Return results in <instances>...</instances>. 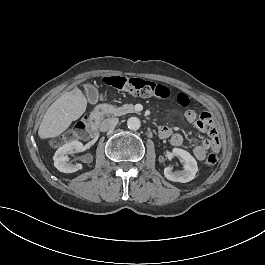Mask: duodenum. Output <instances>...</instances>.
<instances>
[{
	"instance_id": "410a0bca",
	"label": "duodenum",
	"mask_w": 265,
	"mask_h": 265,
	"mask_svg": "<svg viewBox=\"0 0 265 265\" xmlns=\"http://www.w3.org/2000/svg\"><path fill=\"white\" fill-rule=\"evenodd\" d=\"M112 110L108 105L100 104L97 105L90 114V127L92 131H95L99 128L100 119L107 113H110Z\"/></svg>"
}]
</instances>
